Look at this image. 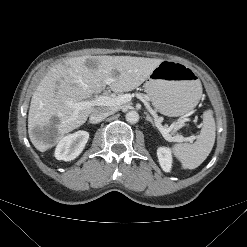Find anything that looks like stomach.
Segmentation results:
<instances>
[{"mask_svg":"<svg viewBox=\"0 0 247 247\" xmlns=\"http://www.w3.org/2000/svg\"><path fill=\"white\" fill-rule=\"evenodd\" d=\"M144 88L155 109L168 117L189 112L202 95L195 71L172 60H163L148 76Z\"/></svg>","mask_w":247,"mask_h":247,"instance_id":"stomach-1","label":"stomach"}]
</instances>
